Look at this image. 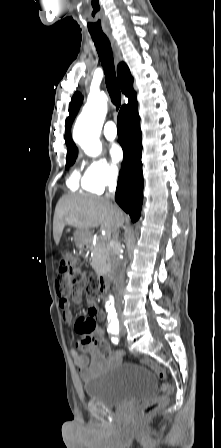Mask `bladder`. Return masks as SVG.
I'll return each mask as SVG.
<instances>
[{
    "label": "bladder",
    "mask_w": 221,
    "mask_h": 448,
    "mask_svg": "<svg viewBox=\"0 0 221 448\" xmlns=\"http://www.w3.org/2000/svg\"><path fill=\"white\" fill-rule=\"evenodd\" d=\"M84 390L89 399L106 407H120L154 397L155 378L146 368L118 362L87 379Z\"/></svg>",
    "instance_id": "31cf9c89"
}]
</instances>
